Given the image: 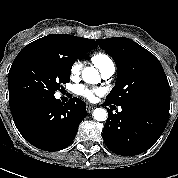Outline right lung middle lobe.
<instances>
[{
  "label": "right lung middle lobe",
  "instance_id": "1",
  "mask_svg": "<svg viewBox=\"0 0 178 178\" xmlns=\"http://www.w3.org/2000/svg\"><path fill=\"white\" fill-rule=\"evenodd\" d=\"M76 59L66 52L46 46L24 47L8 74L9 96L30 94L53 96L70 80Z\"/></svg>",
  "mask_w": 178,
  "mask_h": 178
}]
</instances>
